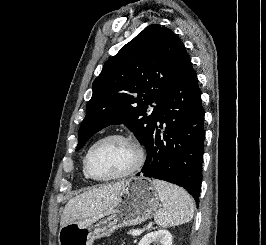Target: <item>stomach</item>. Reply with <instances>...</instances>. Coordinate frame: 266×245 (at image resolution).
Instances as JSON below:
<instances>
[{
  "label": "stomach",
  "mask_w": 266,
  "mask_h": 245,
  "mask_svg": "<svg viewBox=\"0 0 266 245\" xmlns=\"http://www.w3.org/2000/svg\"><path fill=\"white\" fill-rule=\"evenodd\" d=\"M158 207V193L150 179L130 177L107 211L61 227L59 245H93L95 239L110 237L119 227H132L151 219Z\"/></svg>",
  "instance_id": "obj_1"
}]
</instances>
